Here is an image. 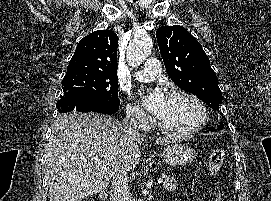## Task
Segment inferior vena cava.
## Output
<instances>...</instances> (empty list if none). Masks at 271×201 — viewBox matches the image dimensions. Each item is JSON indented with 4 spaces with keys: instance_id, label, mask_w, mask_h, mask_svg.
<instances>
[{
    "instance_id": "inferior-vena-cava-1",
    "label": "inferior vena cava",
    "mask_w": 271,
    "mask_h": 201,
    "mask_svg": "<svg viewBox=\"0 0 271 201\" xmlns=\"http://www.w3.org/2000/svg\"><path fill=\"white\" fill-rule=\"evenodd\" d=\"M136 118L135 114H128L123 120L122 125L129 136H139ZM110 201H130L127 171L123 170L115 175Z\"/></svg>"
}]
</instances>
